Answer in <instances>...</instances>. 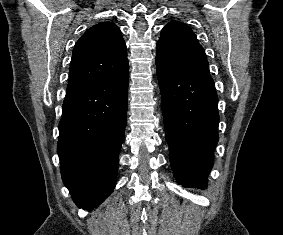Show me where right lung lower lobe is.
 Segmentation results:
<instances>
[{
	"label": "right lung lower lobe",
	"mask_w": 283,
	"mask_h": 235,
	"mask_svg": "<svg viewBox=\"0 0 283 235\" xmlns=\"http://www.w3.org/2000/svg\"><path fill=\"white\" fill-rule=\"evenodd\" d=\"M128 78L126 71L66 93L57 151L62 179L80 208L97 207L115 187L126 125Z\"/></svg>",
	"instance_id": "1"
}]
</instances>
